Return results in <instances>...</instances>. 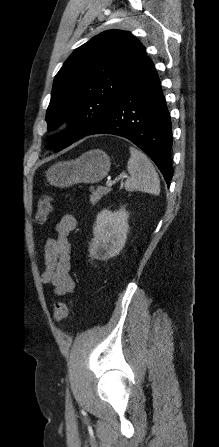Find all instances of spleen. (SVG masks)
Listing matches in <instances>:
<instances>
[{
    "label": "spleen",
    "instance_id": "1",
    "mask_svg": "<svg viewBox=\"0 0 219 447\" xmlns=\"http://www.w3.org/2000/svg\"><path fill=\"white\" fill-rule=\"evenodd\" d=\"M129 150L131 156L127 163V170L130 177L125 182V189L158 195L160 181L153 164L140 150L134 147H130Z\"/></svg>",
    "mask_w": 219,
    "mask_h": 447
}]
</instances>
